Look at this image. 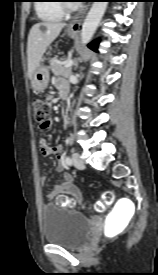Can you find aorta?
<instances>
[{
  "label": "aorta",
  "instance_id": "aorta-1",
  "mask_svg": "<svg viewBox=\"0 0 158 275\" xmlns=\"http://www.w3.org/2000/svg\"><path fill=\"white\" fill-rule=\"evenodd\" d=\"M107 7V2H94L81 29V43L87 44L93 37Z\"/></svg>",
  "mask_w": 158,
  "mask_h": 275
}]
</instances>
